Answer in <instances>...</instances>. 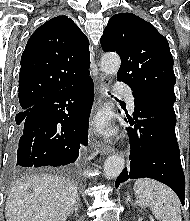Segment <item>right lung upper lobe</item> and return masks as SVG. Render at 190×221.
Wrapping results in <instances>:
<instances>
[{
  "label": "right lung upper lobe",
  "instance_id": "obj_1",
  "mask_svg": "<svg viewBox=\"0 0 190 221\" xmlns=\"http://www.w3.org/2000/svg\"><path fill=\"white\" fill-rule=\"evenodd\" d=\"M88 46L87 37L67 16H57L40 26L21 57L20 108L27 111L42 98L90 77Z\"/></svg>",
  "mask_w": 190,
  "mask_h": 221
}]
</instances>
